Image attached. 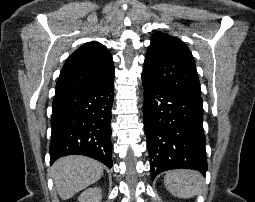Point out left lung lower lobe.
Returning a JSON list of instances; mask_svg holds the SVG:
<instances>
[{"mask_svg":"<svg viewBox=\"0 0 255 202\" xmlns=\"http://www.w3.org/2000/svg\"><path fill=\"white\" fill-rule=\"evenodd\" d=\"M144 128L152 179L165 170L207 171L203 102L197 95L162 88L142 76Z\"/></svg>","mask_w":255,"mask_h":202,"instance_id":"obj_1","label":"left lung lower lobe"}]
</instances>
